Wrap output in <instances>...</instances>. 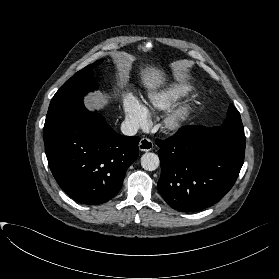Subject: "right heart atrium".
<instances>
[{"label":"right heart atrium","instance_id":"1","mask_svg":"<svg viewBox=\"0 0 279 279\" xmlns=\"http://www.w3.org/2000/svg\"><path fill=\"white\" fill-rule=\"evenodd\" d=\"M123 111L126 121L133 129H143L147 126L149 121L148 110L134 95L129 93L125 96Z\"/></svg>","mask_w":279,"mask_h":279}]
</instances>
